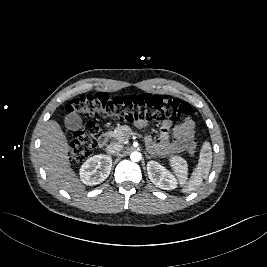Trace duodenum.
Segmentation results:
<instances>
[{
  "mask_svg": "<svg viewBox=\"0 0 267 267\" xmlns=\"http://www.w3.org/2000/svg\"><path fill=\"white\" fill-rule=\"evenodd\" d=\"M108 140H109L108 135H107V134H102V135L99 137L98 141H97V145H98V147H99V148H104V147L107 145Z\"/></svg>",
  "mask_w": 267,
  "mask_h": 267,
  "instance_id": "obj_1",
  "label": "duodenum"
}]
</instances>
